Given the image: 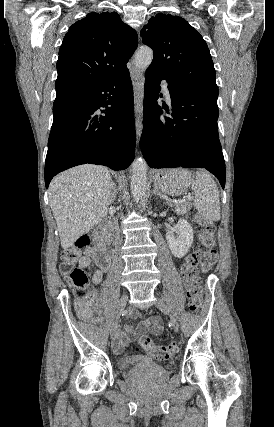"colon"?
Returning <instances> with one entry per match:
<instances>
[{
    "label": "colon",
    "instance_id": "5ec220e1",
    "mask_svg": "<svg viewBox=\"0 0 274 427\" xmlns=\"http://www.w3.org/2000/svg\"><path fill=\"white\" fill-rule=\"evenodd\" d=\"M201 222L199 240L202 245L201 249L196 251L191 260L186 262L181 269V276L187 288L188 293V308L191 312L199 311L201 302L204 301V290L201 286L199 276V261L203 254L204 248H215V224L208 220L199 219ZM71 243L78 248H88L91 245V238L81 229L75 230L70 237ZM80 253L77 249L66 251L64 261L62 263V272L68 276L71 284L74 287V292L77 297L84 298L91 290L89 278L84 268L75 265L78 261ZM138 350L147 353L158 360L170 359L178 350L176 343L167 345H155L148 338L142 337L138 343Z\"/></svg>",
    "mask_w": 274,
    "mask_h": 427
}]
</instances>
